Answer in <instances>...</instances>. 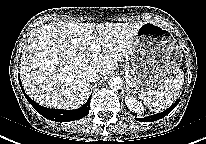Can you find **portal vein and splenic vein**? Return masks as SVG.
Instances as JSON below:
<instances>
[{
    "label": "portal vein and splenic vein",
    "instance_id": "18ae733b",
    "mask_svg": "<svg viewBox=\"0 0 206 144\" xmlns=\"http://www.w3.org/2000/svg\"><path fill=\"white\" fill-rule=\"evenodd\" d=\"M93 51H95V52H100L101 51V46H100V44H93V45H91V47H90Z\"/></svg>",
    "mask_w": 206,
    "mask_h": 144
}]
</instances>
